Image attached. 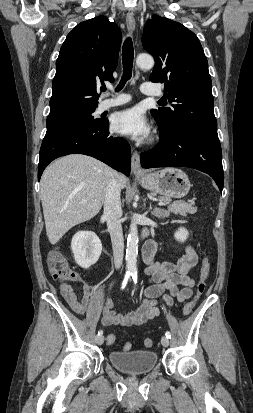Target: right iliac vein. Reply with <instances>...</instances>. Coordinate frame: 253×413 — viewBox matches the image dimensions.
<instances>
[{
    "mask_svg": "<svg viewBox=\"0 0 253 413\" xmlns=\"http://www.w3.org/2000/svg\"><path fill=\"white\" fill-rule=\"evenodd\" d=\"M95 341L98 345H102L104 342V337L102 335H98L96 336Z\"/></svg>",
    "mask_w": 253,
    "mask_h": 413,
    "instance_id": "1",
    "label": "right iliac vein"
}]
</instances>
